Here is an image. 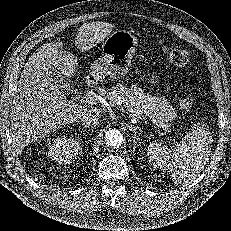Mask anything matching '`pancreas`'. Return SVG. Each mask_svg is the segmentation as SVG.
Masks as SVG:
<instances>
[{
    "instance_id": "obj_1",
    "label": "pancreas",
    "mask_w": 231,
    "mask_h": 231,
    "mask_svg": "<svg viewBox=\"0 0 231 231\" xmlns=\"http://www.w3.org/2000/svg\"><path fill=\"white\" fill-rule=\"evenodd\" d=\"M110 103L121 102L131 117H153L168 125L177 116L176 110L163 97H156L133 85L130 88L118 83L106 95Z\"/></svg>"
}]
</instances>
